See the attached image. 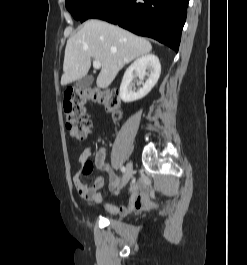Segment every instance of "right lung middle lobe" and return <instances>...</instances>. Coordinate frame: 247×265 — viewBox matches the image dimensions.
Wrapping results in <instances>:
<instances>
[{
    "label": "right lung middle lobe",
    "instance_id": "right-lung-middle-lobe-1",
    "mask_svg": "<svg viewBox=\"0 0 247 265\" xmlns=\"http://www.w3.org/2000/svg\"><path fill=\"white\" fill-rule=\"evenodd\" d=\"M100 0H66V7L76 20H80L83 15Z\"/></svg>",
    "mask_w": 247,
    "mask_h": 265
}]
</instances>
